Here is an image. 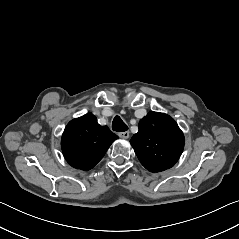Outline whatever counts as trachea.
<instances>
[{"instance_id": "trachea-1", "label": "trachea", "mask_w": 239, "mask_h": 239, "mask_svg": "<svg viewBox=\"0 0 239 239\" xmlns=\"http://www.w3.org/2000/svg\"><path fill=\"white\" fill-rule=\"evenodd\" d=\"M112 129L116 132H125L128 130V126L122 121V119L117 115L113 119Z\"/></svg>"}]
</instances>
